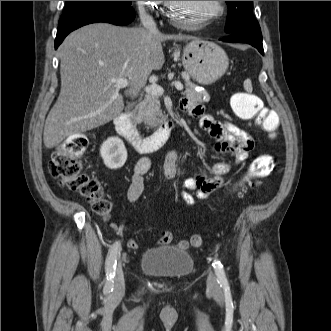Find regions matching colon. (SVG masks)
I'll list each match as a JSON object with an SVG mask.
<instances>
[{
  "instance_id": "colon-1",
  "label": "colon",
  "mask_w": 331,
  "mask_h": 331,
  "mask_svg": "<svg viewBox=\"0 0 331 331\" xmlns=\"http://www.w3.org/2000/svg\"><path fill=\"white\" fill-rule=\"evenodd\" d=\"M231 107L239 119L252 122L264 132L275 134L278 130V114L274 110L264 108L261 99L250 92L234 94L231 98ZM88 144V138L84 134L69 136L53 153L49 171L62 187L79 193L91 203L94 212L106 217L110 212V202L104 197L100 181L83 171L80 160ZM273 167L272 156L269 154L257 156L250 164L245 179L237 186L235 194L239 197L243 196L254 180L267 177ZM190 242L199 247L202 238L194 234Z\"/></svg>"
}]
</instances>
